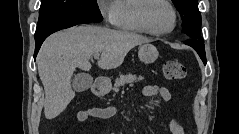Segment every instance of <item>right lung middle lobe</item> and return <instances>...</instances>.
<instances>
[{
	"mask_svg": "<svg viewBox=\"0 0 239 134\" xmlns=\"http://www.w3.org/2000/svg\"><path fill=\"white\" fill-rule=\"evenodd\" d=\"M74 20L101 22L103 18L96 0H42L35 37Z\"/></svg>",
	"mask_w": 239,
	"mask_h": 134,
	"instance_id": "right-lung-middle-lobe-1",
	"label": "right lung middle lobe"
}]
</instances>
